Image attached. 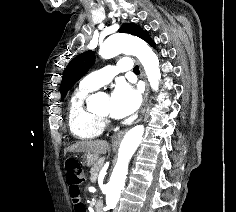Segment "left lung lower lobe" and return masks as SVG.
I'll use <instances>...</instances> for the list:
<instances>
[{
  "label": "left lung lower lobe",
  "mask_w": 236,
  "mask_h": 212,
  "mask_svg": "<svg viewBox=\"0 0 236 212\" xmlns=\"http://www.w3.org/2000/svg\"><path fill=\"white\" fill-rule=\"evenodd\" d=\"M145 41L149 43L151 46H155V43L153 42V40L150 38L149 35L146 37Z\"/></svg>",
  "instance_id": "obj_1"
}]
</instances>
